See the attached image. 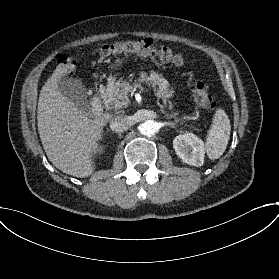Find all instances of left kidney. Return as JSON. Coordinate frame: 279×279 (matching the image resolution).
I'll use <instances>...</instances> for the list:
<instances>
[{"label": "left kidney", "instance_id": "1", "mask_svg": "<svg viewBox=\"0 0 279 279\" xmlns=\"http://www.w3.org/2000/svg\"><path fill=\"white\" fill-rule=\"evenodd\" d=\"M173 148L183 162L200 167L204 164V142L193 133L178 135L173 140Z\"/></svg>", "mask_w": 279, "mask_h": 279}]
</instances>
